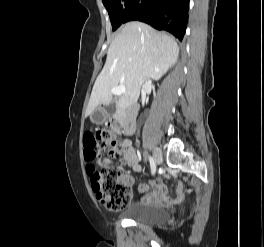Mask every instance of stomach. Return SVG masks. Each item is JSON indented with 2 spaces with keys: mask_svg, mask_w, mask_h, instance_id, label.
Masks as SVG:
<instances>
[{
  "mask_svg": "<svg viewBox=\"0 0 264 247\" xmlns=\"http://www.w3.org/2000/svg\"><path fill=\"white\" fill-rule=\"evenodd\" d=\"M91 115H94L95 123L103 122L106 118L105 110L101 107H97Z\"/></svg>",
  "mask_w": 264,
  "mask_h": 247,
  "instance_id": "obj_1",
  "label": "stomach"
}]
</instances>
